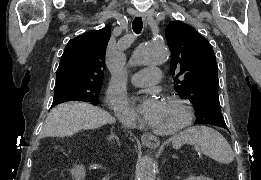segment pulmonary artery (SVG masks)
<instances>
[{
	"mask_svg": "<svg viewBox=\"0 0 261 180\" xmlns=\"http://www.w3.org/2000/svg\"><path fill=\"white\" fill-rule=\"evenodd\" d=\"M160 69H141L130 76V82L136 84L139 89H152L153 85L149 84L157 82L160 79Z\"/></svg>",
	"mask_w": 261,
	"mask_h": 180,
	"instance_id": "1",
	"label": "pulmonary artery"
}]
</instances>
